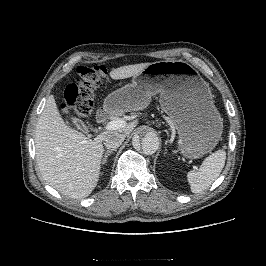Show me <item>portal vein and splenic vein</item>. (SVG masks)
<instances>
[{
	"label": "portal vein and splenic vein",
	"mask_w": 266,
	"mask_h": 266,
	"mask_svg": "<svg viewBox=\"0 0 266 266\" xmlns=\"http://www.w3.org/2000/svg\"><path fill=\"white\" fill-rule=\"evenodd\" d=\"M126 126V122L122 119L112 120L106 124L104 130H117L124 128Z\"/></svg>",
	"instance_id": "1"
}]
</instances>
